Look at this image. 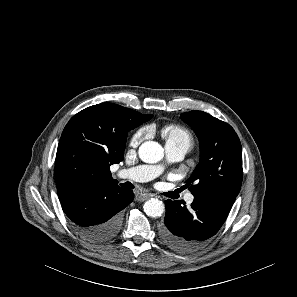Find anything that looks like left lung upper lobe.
Listing matches in <instances>:
<instances>
[{"label":"left lung upper lobe","instance_id":"5c2ea615","mask_svg":"<svg viewBox=\"0 0 297 297\" xmlns=\"http://www.w3.org/2000/svg\"><path fill=\"white\" fill-rule=\"evenodd\" d=\"M181 118L200 141L201 157L186 183H193L194 197L236 198L242 184V149L234 129L203 111H190Z\"/></svg>","mask_w":297,"mask_h":297}]
</instances>
